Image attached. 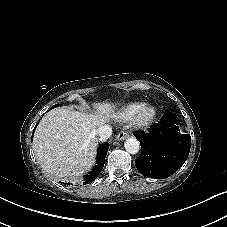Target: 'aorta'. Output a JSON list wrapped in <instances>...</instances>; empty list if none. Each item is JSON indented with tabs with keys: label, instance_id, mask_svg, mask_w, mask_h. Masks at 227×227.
Here are the masks:
<instances>
[{
	"label": "aorta",
	"instance_id": "obj_1",
	"mask_svg": "<svg viewBox=\"0 0 227 227\" xmlns=\"http://www.w3.org/2000/svg\"><path fill=\"white\" fill-rule=\"evenodd\" d=\"M124 147L128 153L136 154L140 150V143L135 137H130L126 139Z\"/></svg>",
	"mask_w": 227,
	"mask_h": 227
}]
</instances>
